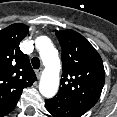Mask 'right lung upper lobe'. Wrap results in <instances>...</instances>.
<instances>
[{
  "label": "right lung upper lobe",
  "mask_w": 117,
  "mask_h": 117,
  "mask_svg": "<svg viewBox=\"0 0 117 117\" xmlns=\"http://www.w3.org/2000/svg\"><path fill=\"white\" fill-rule=\"evenodd\" d=\"M28 31L29 27L22 23L0 31V117L14 109L23 89L36 80L28 56L19 48Z\"/></svg>",
  "instance_id": "obj_1"
}]
</instances>
